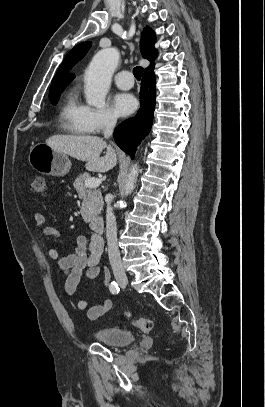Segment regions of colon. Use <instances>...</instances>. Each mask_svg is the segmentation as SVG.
<instances>
[{
  "mask_svg": "<svg viewBox=\"0 0 265 407\" xmlns=\"http://www.w3.org/2000/svg\"><path fill=\"white\" fill-rule=\"evenodd\" d=\"M31 189L35 194L44 195L46 193V181L43 176L34 177ZM126 316L131 320L132 324L138 327L141 331L149 333L153 328L152 320L144 317H133L130 313Z\"/></svg>",
  "mask_w": 265,
  "mask_h": 407,
  "instance_id": "colon-1",
  "label": "colon"
}]
</instances>
